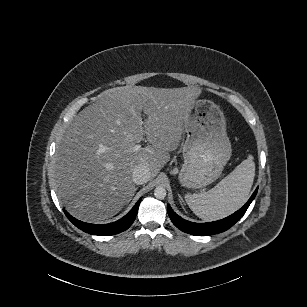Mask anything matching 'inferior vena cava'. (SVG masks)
<instances>
[{"mask_svg": "<svg viewBox=\"0 0 307 307\" xmlns=\"http://www.w3.org/2000/svg\"><path fill=\"white\" fill-rule=\"evenodd\" d=\"M151 177L150 169L146 164H140L133 169L132 180L135 184L142 185Z\"/></svg>", "mask_w": 307, "mask_h": 307, "instance_id": "602c4592", "label": "inferior vena cava"}]
</instances>
